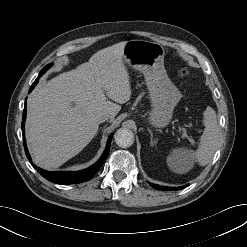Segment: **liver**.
<instances>
[{
  "label": "liver",
  "mask_w": 247,
  "mask_h": 247,
  "mask_svg": "<svg viewBox=\"0 0 247 247\" xmlns=\"http://www.w3.org/2000/svg\"><path fill=\"white\" fill-rule=\"evenodd\" d=\"M125 44L99 50L88 62L33 92L28 102L26 139L39 167L55 169L77 155L96 135L99 116L109 114L113 120L120 104L129 101Z\"/></svg>",
  "instance_id": "1"
}]
</instances>
